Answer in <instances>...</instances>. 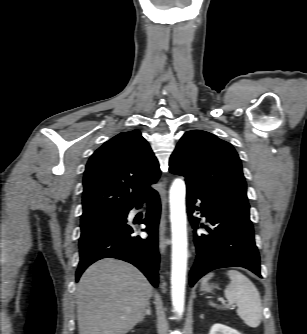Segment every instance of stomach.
I'll list each match as a JSON object with an SVG mask.
<instances>
[{
	"instance_id": "obj_1",
	"label": "stomach",
	"mask_w": 307,
	"mask_h": 334,
	"mask_svg": "<svg viewBox=\"0 0 307 334\" xmlns=\"http://www.w3.org/2000/svg\"><path fill=\"white\" fill-rule=\"evenodd\" d=\"M211 288H212L211 286H209V285L206 284V285L203 286L202 289L205 290V291H210Z\"/></svg>"
}]
</instances>
